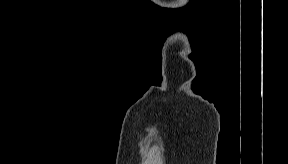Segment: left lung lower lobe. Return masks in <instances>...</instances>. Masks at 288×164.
<instances>
[{
    "instance_id": "0a47b994",
    "label": "left lung lower lobe",
    "mask_w": 288,
    "mask_h": 164,
    "mask_svg": "<svg viewBox=\"0 0 288 164\" xmlns=\"http://www.w3.org/2000/svg\"><path fill=\"white\" fill-rule=\"evenodd\" d=\"M234 73L230 69H221L220 73L216 72H203L204 88L199 93L203 98L213 102L216 98L217 89H213L211 84L215 80H219L220 89L230 85L233 81Z\"/></svg>"
}]
</instances>
